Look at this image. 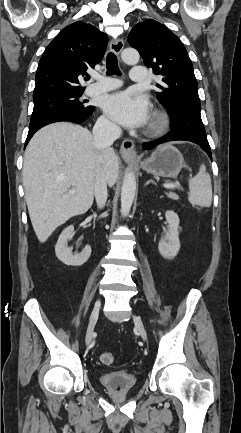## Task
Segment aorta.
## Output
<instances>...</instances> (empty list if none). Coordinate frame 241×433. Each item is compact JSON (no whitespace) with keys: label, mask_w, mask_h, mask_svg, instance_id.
<instances>
[{"label":"aorta","mask_w":241,"mask_h":433,"mask_svg":"<svg viewBox=\"0 0 241 433\" xmlns=\"http://www.w3.org/2000/svg\"><path fill=\"white\" fill-rule=\"evenodd\" d=\"M122 60L126 64H137L140 55L137 50L127 48L122 51ZM136 194V178L132 171L125 174L121 189V211L124 215L128 214Z\"/></svg>","instance_id":"1"}]
</instances>
